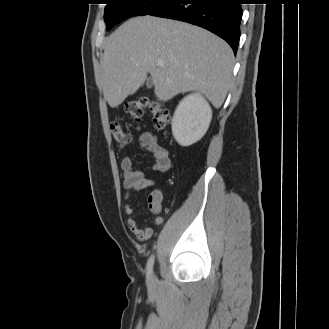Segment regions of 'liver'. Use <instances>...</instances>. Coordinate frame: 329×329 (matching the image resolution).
I'll list each match as a JSON object with an SVG mask.
<instances>
[{
	"label": "liver",
	"instance_id": "obj_1",
	"mask_svg": "<svg viewBox=\"0 0 329 329\" xmlns=\"http://www.w3.org/2000/svg\"><path fill=\"white\" fill-rule=\"evenodd\" d=\"M158 61L163 67L157 66ZM233 66L231 47L213 33L146 15L126 21L106 39L101 85L104 98L115 108L150 73L159 100L197 91L218 109L226 98Z\"/></svg>",
	"mask_w": 329,
	"mask_h": 329
}]
</instances>
